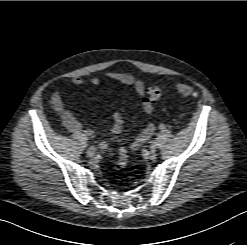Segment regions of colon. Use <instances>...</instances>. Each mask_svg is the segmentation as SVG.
Listing matches in <instances>:
<instances>
[{
    "instance_id": "colon-1",
    "label": "colon",
    "mask_w": 247,
    "mask_h": 245,
    "mask_svg": "<svg viewBox=\"0 0 247 245\" xmlns=\"http://www.w3.org/2000/svg\"><path fill=\"white\" fill-rule=\"evenodd\" d=\"M177 91L183 98L197 97L198 93L188 85L178 84L176 86ZM162 97V90L159 88H152L149 91V99L151 102L158 101ZM128 164V152L124 146L119 147L117 167L119 169H125Z\"/></svg>"
}]
</instances>
